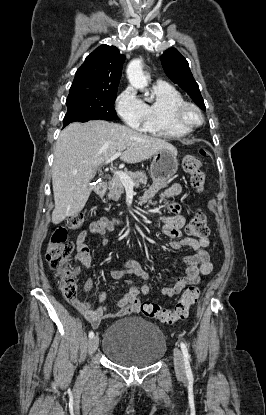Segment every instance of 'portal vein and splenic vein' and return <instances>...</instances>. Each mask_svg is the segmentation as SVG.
Returning a JSON list of instances; mask_svg holds the SVG:
<instances>
[{
	"mask_svg": "<svg viewBox=\"0 0 266 415\" xmlns=\"http://www.w3.org/2000/svg\"><path fill=\"white\" fill-rule=\"evenodd\" d=\"M122 155L121 151L116 152L110 158H108L104 164H108ZM113 173L120 178L121 182L126 188L132 189L135 186V183L130 179V177L123 171L113 170Z\"/></svg>",
	"mask_w": 266,
	"mask_h": 415,
	"instance_id": "1",
	"label": "portal vein and splenic vein"
}]
</instances>
